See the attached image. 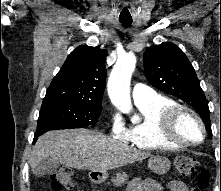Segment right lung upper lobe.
I'll return each mask as SVG.
<instances>
[{
    "label": "right lung upper lobe",
    "mask_w": 221,
    "mask_h": 191,
    "mask_svg": "<svg viewBox=\"0 0 221 191\" xmlns=\"http://www.w3.org/2000/svg\"><path fill=\"white\" fill-rule=\"evenodd\" d=\"M107 50L81 45L68 55L53 78L42 105L61 102H85L102 105L107 70Z\"/></svg>",
    "instance_id": "obj_1"
}]
</instances>
